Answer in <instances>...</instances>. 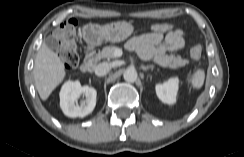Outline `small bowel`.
I'll return each mask as SVG.
<instances>
[{
  "label": "small bowel",
  "mask_w": 244,
  "mask_h": 157,
  "mask_svg": "<svg viewBox=\"0 0 244 157\" xmlns=\"http://www.w3.org/2000/svg\"><path fill=\"white\" fill-rule=\"evenodd\" d=\"M127 47L144 60L160 59L168 52L180 51L185 47V33L170 29L165 33L152 32L131 38Z\"/></svg>",
  "instance_id": "small-bowel-1"
}]
</instances>
